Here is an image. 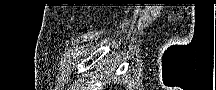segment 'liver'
<instances>
[{"label":"liver","mask_w":216,"mask_h":90,"mask_svg":"<svg viewBox=\"0 0 216 90\" xmlns=\"http://www.w3.org/2000/svg\"><path fill=\"white\" fill-rule=\"evenodd\" d=\"M107 62L108 60H103V64H100V66H97L96 74H101V76H103V74H109L110 68Z\"/></svg>","instance_id":"obj_1"}]
</instances>
